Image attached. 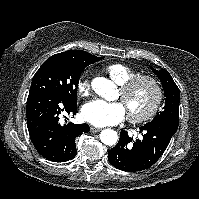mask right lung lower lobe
<instances>
[{"label":"right lung lower lobe","instance_id":"1","mask_svg":"<svg viewBox=\"0 0 199 199\" xmlns=\"http://www.w3.org/2000/svg\"><path fill=\"white\" fill-rule=\"evenodd\" d=\"M77 104H71L50 90L29 92L26 118L29 135L40 155L53 162H65L76 156V138L89 132L88 124L62 125L61 114L75 115Z\"/></svg>","mask_w":199,"mask_h":199}]
</instances>
